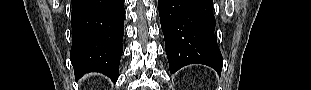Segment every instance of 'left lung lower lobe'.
I'll use <instances>...</instances> for the list:
<instances>
[{"mask_svg": "<svg viewBox=\"0 0 311 90\" xmlns=\"http://www.w3.org/2000/svg\"><path fill=\"white\" fill-rule=\"evenodd\" d=\"M212 3L213 0H158L172 74L193 63L210 66L220 74L223 58L214 34Z\"/></svg>", "mask_w": 311, "mask_h": 90, "instance_id": "1", "label": "left lung lower lobe"}]
</instances>
